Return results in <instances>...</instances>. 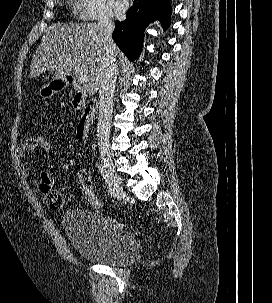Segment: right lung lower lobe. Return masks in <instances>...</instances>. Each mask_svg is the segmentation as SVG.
<instances>
[{"label":"right lung lower lobe","instance_id":"right-lung-lower-lobe-1","mask_svg":"<svg viewBox=\"0 0 272 303\" xmlns=\"http://www.w3.org/2000/svg\"><path fill=\"white\" fill-rule=\"evenodd\" d=\"M170 0H134L127 11L126 20L115 22L113 39L130 60H135L142 48L144 29L155 19L166 30L171 23Z\"/></svg>","mask_w":272,"mask_h":303}]
</instances>
